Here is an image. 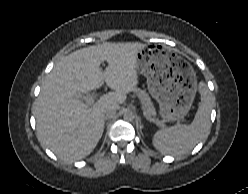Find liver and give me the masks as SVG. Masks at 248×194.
Listing matches in <instances>:
<instances>
[{
  "mask_svg": "<svg viewBox=\"0 0 248 194\" xmlns=\"http://www.w3.org/2000/svg\"><path fill=\"white\" fill-rule=\"evenodd\" d=\"M145 46L105 42L62 58L46 77L36 101L39 140L63 160L88 156L102 136L105 111L118 110L127 94L137 91L136 57ZM103 61L109 64L105 72L100 68ZM104 81L114 92L86 105L81 95L100 88Z\"/></svg>",
  "mask_w": 248,
  "mask_h": 194,
  "instance_id": "liver-1",
  "label": "liver"
}]
</instances>
